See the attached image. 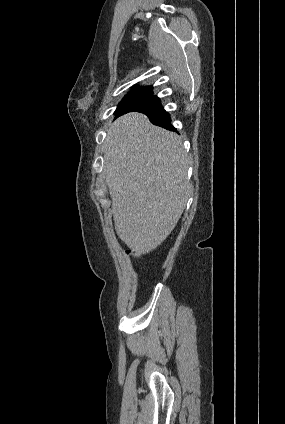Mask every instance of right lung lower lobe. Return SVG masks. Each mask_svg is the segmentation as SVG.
Masks as SVG:
<instances>
[{
  "label": "right lung lower lobe",
  "mask_w": 285,
  "mask_h": 424,
  "mask_svg": "<svg viewBox=\"0 0 285 424\" xmlns=\"http://www.w3.org/2000/svg\"><path fill=\"white\" fill-rule=\"evenodd\" d=\"M133 111L147 115L154 125H158L170 131H176L171 125L170 115L163 109L160 99L157 96L150 95L133 102L120 115Z\"/></svg>",
  "instance_id": "right-lung-lower-lobe-1"
}]
</instances>
